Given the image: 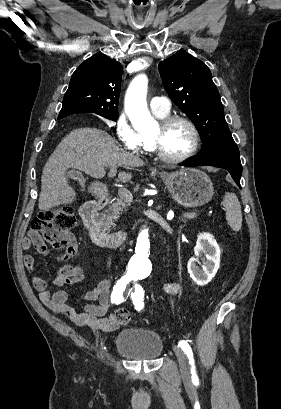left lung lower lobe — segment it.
I'll list each match as a JSON object with an SVG mask.
<instances>
[{
  "label": "left lung lower lobe",
  "mask_w": 281,
  "mask_h": 409,
  "mask_svg": "<svg viewBox=\"0 0 281 409\" xmlns=\"http://www.w3.org/2000/svg\"><path fill=\"white\" fill-rule=\"evenodd\" d=\"M184 166H214L224 168L231 174L236 184L240 186L242 165L239 155L217 154V155H197L183 164Z\"/></svg>",
  "instance_id": "obj_1"
}]
</instances>
